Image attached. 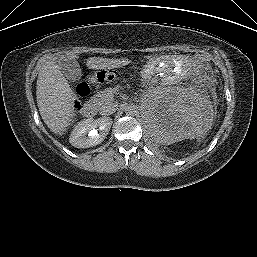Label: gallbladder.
I'll use <instances>...</instances> for the list:
<instances>
[{"label":"gallbladder","instance_id":"1","mask_svg":"<svg viewBox=\"0 0 257 257\" xmlns=\"http://www.w3.org/2000/svg\"><path fill=\"white\" fill-rule=\"evenodd\" d=\"M56 63L68 80L77 81L80 79L82 72L76 60L70 59L66 54H60L56 56Z\"/></svg>","mask_w":257,"mask_h":257}]
</instances>
